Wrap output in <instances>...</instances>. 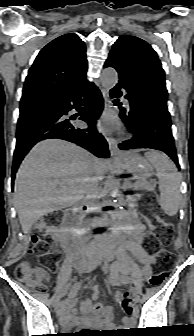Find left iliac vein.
Listing matches in <instances>:
<instances>
[{"instance_id": "obj_1", "label": "left iliac vein", "mask_w": 194, "mask_h": 336, "mask_svg": "<svg viewBox=\"0 0 194 336\" xmlns=\"http://www.w3.org/2000/svg\"><path fill=\"white\" fill-rule=\"evenodd\" d=\"M131 289H133L134 292H132ZM131 289H130L131 293L133 294V296H135L134 301L136 303H139L140 302V297L137 295V292L135 291L134 288H131Z\"/></svg>"}]
</instances>
